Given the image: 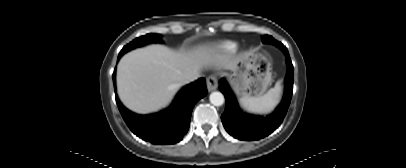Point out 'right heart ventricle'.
I'll list each match as a JSON object with an SVG mask.
<instances>
[{"instance_id": "1", "label": "right heart ventricle", "mask_w": 406, "mask_h": 168, "mask_svg": "<svg viewBox=\"0 0 406 168\" xmlns=\"http://www.w3.org/2000/svg\"><path fill=\"white\" fill-rule=\"evenodd\" d=\"M216 49L225 53H233L237 49V44L235 42L227 41L219 44Z\"/></svg>"}]
</instances>
